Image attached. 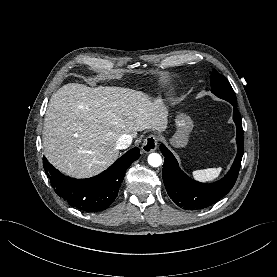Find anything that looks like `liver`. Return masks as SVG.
<instances>
[{"mask_svg":"<svg viewBox=\"0 0 277 277\" xmlns=\"http://www.w3.org/2000/svg\"><path fill=\"white\" fill-rule=\"evenodd\" d=\"M167 117L160 98L127 88L69 83L50 99L43 130L45 155L66 175L92 177L118 158L121 135L164 131Z\"/></svg>","mask_w":277,"mask_h":277,"instance_id":"obj_1","label":"liver"}]
</instances>
